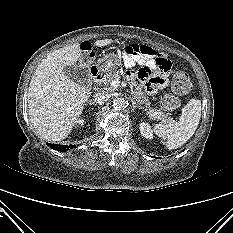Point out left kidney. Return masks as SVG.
Returning <instances> with one entry per match:
<instances>
[{"mask_svg":"<svg viewBox=\"0 0 233 233\" xmlns=\"http://www.w3.org/2000/svg\"><path fill=\"white\" fill-rule=\"evenodd\" d=\"M140 132L147 139L153 138V131L151 129V126L147 122L140 123Z\"/></svg>","mask_w":233,"mask_h":233,"instance_id":"obj_1","label":"left kidney"}]
</instances>
